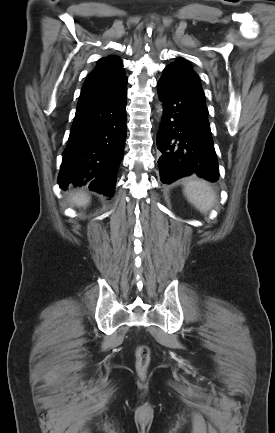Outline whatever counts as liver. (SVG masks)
I'll list each match as a JSON object with an SVG mask.
<instances>
[{
  "mask_svg": "<svg viewBox=\"0 0 275 433\" xmlns=\"http://www.w3.org/2000/svg\"><path fill=\"white\" fill-rule=\"evenodd\" d=\"M70 202L78 207H84L90 202V197H88L84 192H80L73 195Z\"/></svg>",
  "mask_w": 275,
  "mask_h": 433,
  "instance_id": "1",
  "label": "liver"
}]
</instances>
